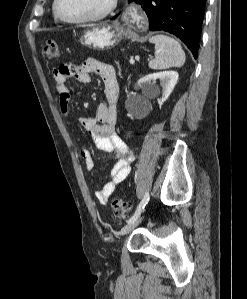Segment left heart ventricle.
Returning a JSON list of instances; mask_svg holds the SVG:
<instances>
[{
  "label": "left heart ventricle",
  "instance_id": "obj_1",
  "mask_svg": "<svg viewBox=\"0 0 247 299\" xmlns=\"http://www.w3.org/2000/svg\"><path fill=\"white\" fill-rule=\"evenodd\" d=\"M109 0H59L60 14L67 19H78L102 11Z\"/></svg>",
  "mask_w": 247,
  "mask_h": 299
}]
</instances>
